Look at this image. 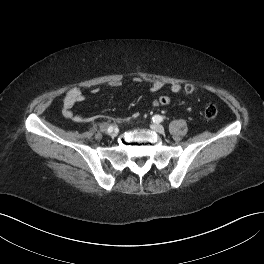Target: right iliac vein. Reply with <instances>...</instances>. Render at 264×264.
<instances>
[{"label":"right iliac vein","mask_w":264,"mask_h":264,"mask_svg":"<svg viewBox=\"0 0 264 264\" xmlns=\"http://www.w3.org/2000/svg\"><path fill=\"white\" fill-rule=\"evenodd\" d=\"M111 137H115L117 135V131L114 130L112 132L109 133Z\"/></svg>","instance_id":"1"}]
</instances>
